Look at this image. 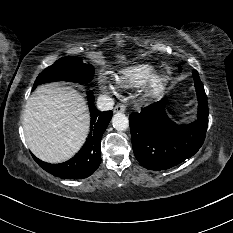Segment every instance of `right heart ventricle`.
Listing matches in <instances>:
<instances>
[{
  "instance_id": "e07e8e85",
  "label": "right heart ventricle",
  "mask_w": 233,
  "mask_h": 233,
  "mask_svg": "<svg viewBox=\"0 0 233 233\" xmlns=\"http://www.w3.org/2000/svg\"><path fill=\"white\" fill-rule=\"evenodd\" d=\"M156 73L153 66L139 64L124 69L116 81L123 88H137L146 84Z\"/></svg>"
}]
</instances>
